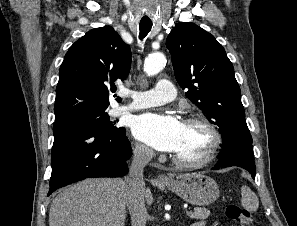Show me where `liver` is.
I'll return each mask as SVG.
<instances>
[{
	"label": "liver",
	"mask_w": 297,
	"mask_h": 226,
	"mask_svg": "<svg viewBox=\"0 0 297 226\" xmlns=\"http://www.w3.org/2000/svg\"><path fill=\"white\" fill-rule=\"evenodd\" d=\"M144 198L149 206L153 203L149 188L145 189ZM125 219L123 179L81 181L63 190L52 201L49 212V226H124Z\"/></svg>",
	"instance_id": "liver-1"
}]
</instances>
